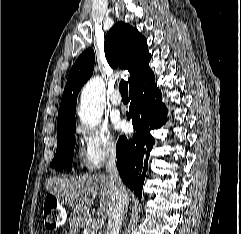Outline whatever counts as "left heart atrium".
I'll list each match as a JSON object with an SVG mask.
<instances>
[{"instance_id":"left-heart-atrium-1","label":"left heart atrium","mask_w":241,"mask_h":234,"mask_svg":"<svg viewBox=\"0 0 241 234\" xmlns=\"http://www.w3.org/2000/svg\"><path fill=\"white\" fill-rule=\"evenodd\" d=\"M114 125L115 127L118 129V130H124L126 128V124L125 122L119 120V119H116L114 121Z\"/></svg>"}]
</instances>
